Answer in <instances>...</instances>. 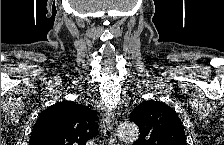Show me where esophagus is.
I'll list each match as a JSON object with an SVG mask.
<instances>
[{
  "mask_svg": "<svg viewBox=\"0 0 224 145\" xmlns=\"http://www.w3.org/2000/svg\"><path fill=\"white\" fill-rule=\"evenodd\" d=\"M113 115L109 112L105 113L101 120V130L111 145H115L116 137L113 131Z\"/></svg>",
  "mask_w": 224,
  "mask_h": 145,
  "instance_id": "1",
  "label": "esophagus"
}]
</instances>
